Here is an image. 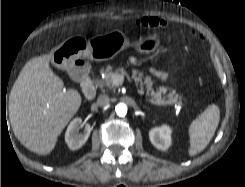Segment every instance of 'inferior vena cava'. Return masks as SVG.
I'll use <instances>...</instances> for the list:
<instances>
[{"instance_id":"1","label":"inferior vena cava","mask_w":245,"mask_h":187,"mask_svg":"<svg viewBox=\"0 0 245 187\" xmlns=\"http://www.w3.org/2000/svg\"><path fill=\"white\" fill-rule=\"evenodd\" d=\"M110 103V98L107 95H100L97 98L96 104L100 107H105L109 105Z\"/></svg>"}]
</instances>
